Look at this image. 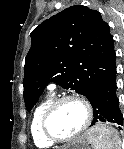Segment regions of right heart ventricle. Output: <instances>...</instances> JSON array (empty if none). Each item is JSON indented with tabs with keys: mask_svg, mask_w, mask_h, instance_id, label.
Segmentation results:
<instances>
[{
	"mask_svg": "<svg viewBox=\"0 0 124 149\" xmlns=\"http://www.w3.org/2000/svg\"><path fill=\"white\" fill-rule=\"evenodd\" d=\"M54 101L53 95H49L34 109L31 121L30 132L35 145L39 148H49L53 146V142L48 140L42 132V119L46 109Z\"/></svg>",
	"mask_w": 124,
	"mask_h": 149,
	"instance_id": "obj_1",
	"label": "right heart ventricle"
}]
</instances>
